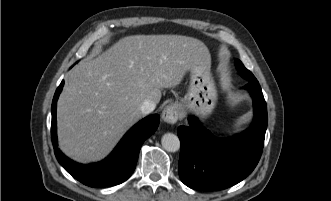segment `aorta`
<instances>
[{"label": "aorta", "mask_w": 331, "mask_h": 201, "mask_svg": "<svg viewBox=\"0 0 331 201\" xmlns=\"http://www.w3.org/2000/svg\"><path fill=\"white\" fill-rule=\"evenodd\" d=\"M162 147L168 152H176L180 149V140L173 133H166L161 139Z\"/></svg>", "instance_id": "aorta-1"}]
</instances>
